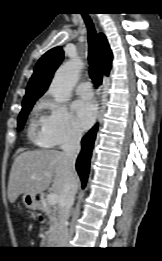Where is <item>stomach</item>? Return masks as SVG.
<instances>
[{
    "label": "stomach",
    "mask_w": 162,
    "mask_h": 261,
    "mask_svg": "<svg viewBox=\"0 0 162 261\" xmlns=\"http://www.w3.org/2000/svg\"><path fill=\"white\" fill-rule=\"evenodd\" d=\"M23 203L28 209L31 210H34L39 206V202L36 200V196L31 194L23 195Z\"/></svg>",
    "instance_id": "stomach-1"
}]
</instances>
